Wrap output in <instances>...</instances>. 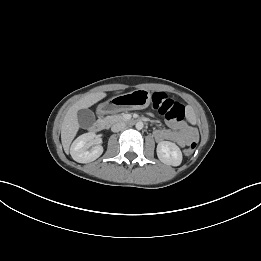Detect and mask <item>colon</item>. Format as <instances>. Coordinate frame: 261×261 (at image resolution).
I'll return each mask as SVG.
<instances>
[{"mask_svg": "<svg viewBox=\"0 0 261 261\" xmlns=\"http://www.w3.org/2000/svg\"><path fill=\"white\" fill-rule=\"evenodd\" d=\"M152 104L160 114L164 115L168 120L182 121L185 117L184 106L168 97L163 92H156L152 96ZM196 143L191 142L184 150L185 155L190 156L194 153Z\"/></svg>", "mask_w": 261, "mask_h": 261, "instance_id": "5ec220e1", "label": "colon"}]
</instances>
